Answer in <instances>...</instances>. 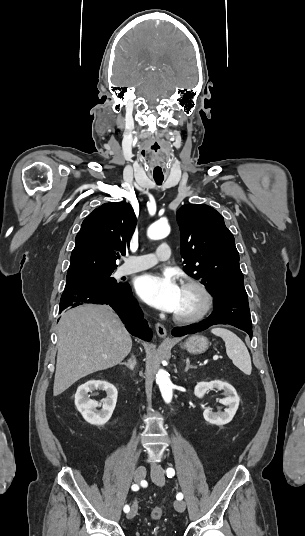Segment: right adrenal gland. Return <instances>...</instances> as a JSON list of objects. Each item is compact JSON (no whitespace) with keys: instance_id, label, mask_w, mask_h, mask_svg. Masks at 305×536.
Masks as SVG:
<instances>
[{"instance_id":"right-adrenal-gland-1","label":"right adrenal gland","mask_w":305,"mask_h":536,"mask_svg":"<svg viewBox=\"0 0 305 536\" xmlns=\"http://www.w3.org/2000/svg\"><path fill=\"white\" fill-rule=\"evenodd\" d=\"M123 366H127L129 370H135V366H137L136 358L135 356H131L130 360L128 362H123Z\"/></svg>"}]
</instances>
